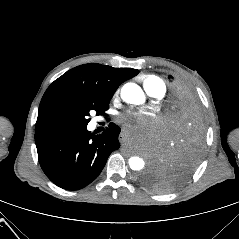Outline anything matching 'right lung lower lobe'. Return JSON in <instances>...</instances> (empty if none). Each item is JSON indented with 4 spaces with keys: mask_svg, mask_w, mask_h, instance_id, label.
I'll list each match as a JSON object with an SVG mask.
<instances>
[{
    "mask_svg": "<svg viewBox=\"0 0 239 239\" xmlns=\"http://www.w3.org/2000/svg\"><path fill=\"white\" fill-rule=\"evenodd\" d=\"M87 126L35 132L41 168L57 186L78 190L90 184L104 168L109 155L120 147V128L111 123L100 135Z\"/></svg>",
    "mask_w": 239,
    "mask_h": 239,
    "instance_id": "1",
    "label": "right lung lower lobe"
}]
</instances>
